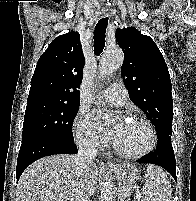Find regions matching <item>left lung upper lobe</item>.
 <instances>
[{
  "instance_id": "1",
  "label": "left lung upper lobe",
  "mask_w": 196,
  "mask_h": 201,
  "mask_svg": "<svg viewBox=\"0 0 196 201\" xmlns=\"http://www.w3.org/2000/svg\"><path fill=\"white\" fill-rule=\"evenodd\" d=\"M124 52L121 75L131 101L154 124L158 139L172 135V85L165 60L155 42L134 27L117 29Z\"/></svg>"
}]
</instances>
